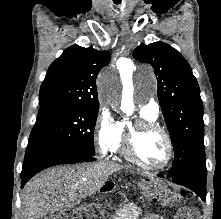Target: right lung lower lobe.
Returning <instances> with one entry per match:
<instances>
[{"label": "right lung lower lobe", "instance_id": "right-lung-lower-lobe-1", "mask_svg": "<svg viewBox=\"0 0 221 219\" xmlns=\"http://www.w3.org/2000/svg\"><path fill=\"white\" fill-rule=\"evenodd\" d=\"M94 156L73 152L44 141H34L27 146L21 179L25 183L39 171L51 166L68 163L95 161Z\"/></svg>", "mask_w": 221, "mask_h": 219}]
</instances>
